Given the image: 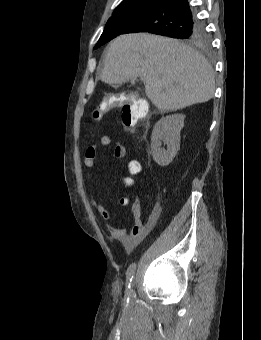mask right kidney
<instances>
[{"mask_svg":"<svg viewBox=\"0 0 261 340\" xmlns=\"http://www.w3.org/2000/svg\"><path fill=\"white\" fill-rule=\"evenodd\" d=\"M184 119L185 115L174 114L161 118L155 124L151 136V152L158 165L168 166L177 154ZM162 142L167 145V150L161 148Z\"/></svg>","mask_w":261,"mask_h":340,"instance_id":"right-kidney-1","label":"right kidney"}]
</instances>
